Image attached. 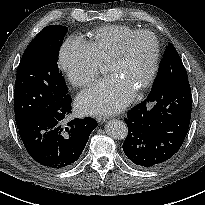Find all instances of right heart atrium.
I'll return each mask as SVG.
<instances>
[{
	"mask_svg": "<svg viewBox=\"0 0 205 205\" xmlns=\"http://www.w3.org/2000/svg\"><path fill=\"white\" fill-rule=\"evenodd\" d=\"M59 64L69 82L79 88L90 85L101 67L88 45L76 37H70L63 43L59 52Z\"/></svg>",
	"mask_w": 205,
	"mask_h": 205,
	"instance_id": "obj_1",
	"label": "right heart atrium"
}]
</instances>
